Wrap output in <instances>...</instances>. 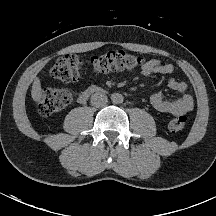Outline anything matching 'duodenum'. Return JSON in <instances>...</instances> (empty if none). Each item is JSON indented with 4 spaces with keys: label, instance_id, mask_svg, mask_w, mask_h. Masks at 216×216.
<instances>
[{
    "label": "duodenum",
    "instance_id": "duodenum-1",
    "mask_svg": "<svg viewBox=\"0 0 216 216\" xmlns=\"http://www.w3.org/2000/svg\"><path fill=\"white\" fill-rule=\"evenodd\" d=\"M103 90L101 88L98 87H90L88 88L86 91L82 92L79 96V98H81L83 101H85L89 96H91L92 94H100L102 93Z\"/></svg>",
    "mask_w": 216,
    "mask_h": 216
}]
</instances>
